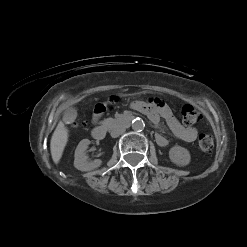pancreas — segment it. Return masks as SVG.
<instances>
[{
    "label": "pancreas",
    "mask_w": 247,
    "mask_h": 247,
    "mask_svg": "<svg viewBox=\"0 0 247 247\" xmlns=\"http://www.w3.org/2000/svg\"><path fill=\"white\" fill-rule=\"evenodd\" d=\"M113 121H114V119H112V118L104 119V120L102 121V124L105 125V126H107V125H109L110 123H112Z\"/></svg>",
    "instance_id": "cf45deb5"
}]
</instances>
